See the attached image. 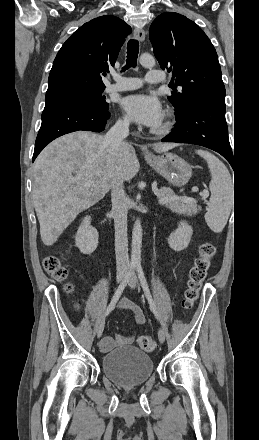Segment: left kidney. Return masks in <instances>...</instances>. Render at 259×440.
Returning <instances> with one entry per match:
<instances>
[{"label": "left kidney", "instance_id": "5707ae66", "mask_svg": "<svg viewBox=\"0 0 259 440\" xmlns=\"http://www.w3.org/2000/svg\"><path fill=\"white\" fill-rule=\"evenodd\" d=\"M192 234V227L188 225L186 221H180L177 229L168 237V244L170 248L177 252L187 248Z\"/></svg>", "mask_w": 259, "mask_h": 440}]
</instances>
